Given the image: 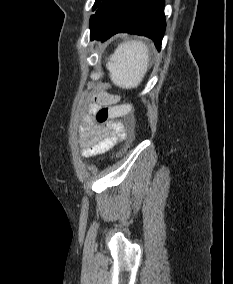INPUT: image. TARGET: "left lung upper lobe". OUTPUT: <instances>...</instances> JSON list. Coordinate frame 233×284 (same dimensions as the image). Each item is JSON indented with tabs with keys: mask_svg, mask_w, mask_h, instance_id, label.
Masks as SVG:
<instances>
[{
	"mask_svg": "<svg viewBox=\"0 0 233 284\" xmlns=\"http://www.w3.org/2000/svg\"><path fill=\"white\" fill-rule=\"evenodd\" d=\"M102 1H103V0H96V1H95L94 5H93V11H95V10L98 8V6L101 4ZM93 19H94V15L91 16V19H90V27H91V25H92Z\"/></svg>",
	"mask_w": 233,
	"mask_h": 284,
	"instance_id": "1",
	"label": "left lung upper lobe"
}]
</instances>
